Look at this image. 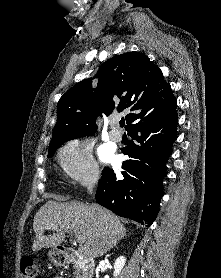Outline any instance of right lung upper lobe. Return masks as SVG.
<instances>
[{
    "label": "right lung upper lobe",
    "mask_w": 221,
    "mask_h": 278,
    "mask_svg": "<svg viewBox=\"0 0 221 278\" xmlns=\"http://www.w3.org/2000/svg\"><path fill=\"white\" fill-rule=\"evenodd\" d=\"M95 77L99 78L95 89L92 78L85 79L59 100L50 147L93 134L96 118L114 110L131 111L125 117L128 130L177 107L170 84L144 54L128 52L115 56L102 65Z\"/></svg>",
    "instance_id": "cb5924a9"
}]
</instances>
